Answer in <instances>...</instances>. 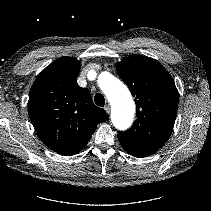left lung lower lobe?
Here are the masks:
<instances>
[{"mask_svg": "<svg viewBox=\"0 0 211 211\" xmlns=\"http://www.w3.org/2000/svg\"><path fill=\"white\" fill-rule=\"evenodd\" d=\"M118 140L121 146L131 155L143 158L155 153L164 144L162 143H152V142H140L134 141L122 136H118Z\"/></svg>", "mask_w": 211, "mask_h": 211, "instance_id": "obj_1", "label": "left lung lower lobe"}]
</instances>
